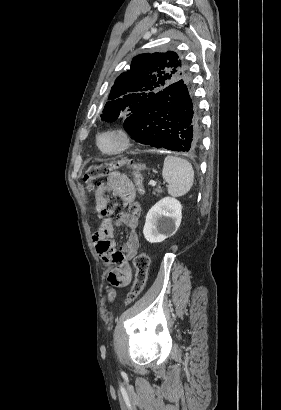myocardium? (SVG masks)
<instances>
[{"label":"myocardium","mask_w":281,"mask_h":410,"mask_svg":"<svg viewBox=\"0 0 281 410\" xmlns=\"http://www.w3.org/2000/svg\"><path fill=\"white\" fill-rule=\"evenodd\" d=\"M105 137H112L116 140V145L110 149L102 146V140ZM133 138L131 133L124 127H109L95 137V145L98 151L107 156H115L124 153L132 146Z\"/></svg>","instance_id":"f54148a6"}]
</instances>
